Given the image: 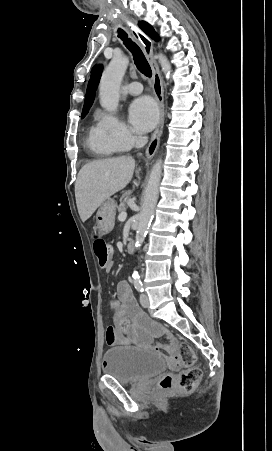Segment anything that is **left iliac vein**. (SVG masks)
<instances>
[{
    "instance_id": "1",
    "label": "left iliac vein",
    "mask_w": 272,
    "mask_h": 451,
    "mask_svg": "<svg viewBox=\"0 0 272 451\" xmlns=\"http://www.w3.org/2000/svg\"><path fill=\"white\" fill-rule=\"evenodd\" d=\"M140 303L144 308H147L149 306V298L148 295L144 292L140 295Z\"/></svg>"
}]
</instances>
